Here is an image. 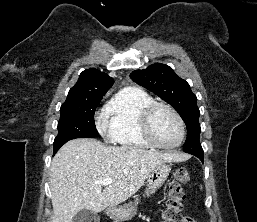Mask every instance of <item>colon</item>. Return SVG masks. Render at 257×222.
Returning <instances> with one entry per match:
<instances>
[{
	"label": "colon",
	"instance_id": "obj_1",
	"mask_svg": "<svg viewBox=\"0 0 257 222\" xmlns=\"http://www.w3.org/2000/svg\"><path fill=\"white\" fill-rule=\"evenodd\" d=\"M188 180L189 173L185 168H178L174 171L162 212L163 222H181L182 203L185 199L184 185Z\"/></svg>",
	"mask_w": 257,
	"mask_h": 222
}]
</instances>
